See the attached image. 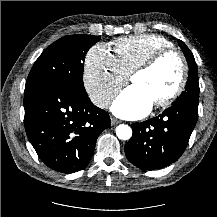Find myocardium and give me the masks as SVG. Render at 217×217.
I'll return each instance as SVG.
<instances>
[{
  "instance_id": "obj_1",
  "label": "myocardium",
  "mask_w": 217,
  "mask_h": 217,
  "mask_svg": "<svg viewBox=\"0 0 217 217\" xmlns=\"http://www.w3.org/2000/svg\"><path fill=\"white\" fill-rule=\"evenodd\" d=\"M169 57H174L178 61L180 67L179 79L175 89L168 96L154 103L155 107L157 108L167 107L171 105L176 99H178L181 96V94L185 90L188 80V65L183 54L172 48L162 50L154 54L151 58H149L147 61H145L138 67H136L131 72L129 78V80L131 81L135 75L155 69L162 61Z\"/></svg>"
}]
</instances>
